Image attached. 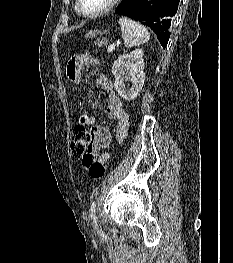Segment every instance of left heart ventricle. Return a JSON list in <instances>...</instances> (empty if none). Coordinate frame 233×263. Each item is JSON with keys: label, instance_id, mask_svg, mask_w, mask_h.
Returning <instances> with one entry per match:
<instances>
[{"label": "left heart ventricle", "instance_id": "obj_1", "mask_svg": "<svg viewBox=\"0 0 233 263\" xmlns=\"http://www.w3.org/2000/svg\"><path fill=\"white\" fill-rule=\"evenodd\" d=\"M109 0H81V9L85 13H94L107 5Z\"/></svg>", "mask_w": 233, "mask_h": 263}]
</instances>
